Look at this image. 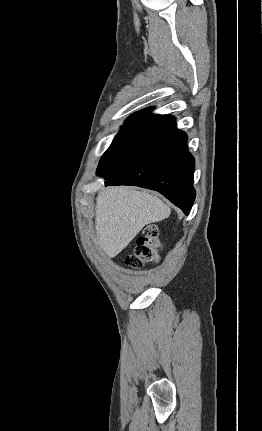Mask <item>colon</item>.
Listing matches in <instances>:
<instances>
[{"label":"colon","mask_w":262,"mask_h":431,"mask_svg":"<svg viewBox=\"0 0 262 431\" xmlns=\"http://www.w3.org/2000/svg\"><path fill=\"white\" fill-rule=\"evenodd\" d=\"M159 230L155 225L147 226L142 234L137 237L133 253L125 258V265L137 268L145 263L156 262L157 249L160 248Z\"/></svg>","instance_id":"obj_1"}]
</instances>
